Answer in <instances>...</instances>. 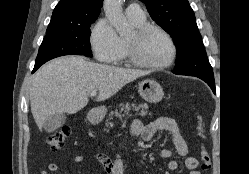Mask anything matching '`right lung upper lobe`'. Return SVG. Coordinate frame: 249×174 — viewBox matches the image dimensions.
Returning <instances> with one entry per match:
<instances>
[{
	"label": "right lung upper lobe",
	"mask_w": 249,
	"mask_h": 174,
	"mask_svg": "<svg viewBox=\"0 0 249 174\" xmlns=\"http://www.w3.org/2000/svg\"><path fill=\"white\" fill-rule=\"evenodd\" d=\"M102 4L103 0H61L53 11L47 31L96 20Z\"/></svg>",
	"instance_id": "obj_1"
}]
</instances>
